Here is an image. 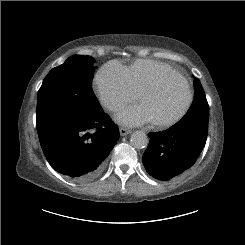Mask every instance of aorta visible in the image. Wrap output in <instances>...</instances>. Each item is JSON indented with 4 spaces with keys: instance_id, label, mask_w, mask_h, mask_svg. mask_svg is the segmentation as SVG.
Returning a JSON list of instances; mask_svg holds the SVG:
<instances>
[{
    "instance_id": "obj_1",
    "label": "aorta",
    "mask_w": 245,
    "mask_h": 245,
    "mask_svg": "<svg viewBox=\"0 0 245 245\" xmlns=\"http://www.w3.org/2000/svg\"><path fill=\"white\" fill-rule=\"evenodd\" d=\"M132 146L143 149L148 146L149 139L143 131H135L130 138Z\"/></svg>"
}]
</instances>
